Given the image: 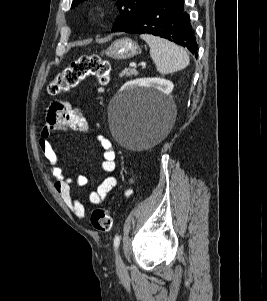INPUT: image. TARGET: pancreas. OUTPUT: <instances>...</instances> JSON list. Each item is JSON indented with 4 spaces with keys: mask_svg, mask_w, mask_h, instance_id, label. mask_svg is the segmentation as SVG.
<instances>
[{
    "mask_svg": "<svg viewBox=\"0 0 267 301\" xmlns=\"http://www.w3.org/2000/svg\"><path fill=\"white\" fill-rule=\"evenodd\" d=\"M132 75L137 76L138 72L135 69H124L120 74L119 77L122 78L124 76L130 77Z\"/></svg>",
    "mask_w": 267,
    "mask_h": 301,
    "instance_id": "pancreas-1",
    "label": "pancreas"
}]
</instances>
